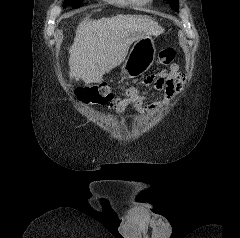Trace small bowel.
<instances>
[{
	"mask_svg": "<svg viewBox=\"0 0 240 238\" xmlns=\"http://www.w3.org/2000/svg\"><path fill=\"white\" fill-rule=\"evenodd\" d=\"M184 76L180 72L177 63L171 65L169 71H161L149 76L142 81L144 85H152L155 90L163 91L165 99L163 102L146 104V97L140 92L137 86H129L125 89L124 95L110 101L109 108L115 113L120 114L128 107H134L139 112H147L160 106L162 103L172 99L179 91Z\"/></svg>",
	"mask_w": 240,
	"mask_h": 238,
	"instance_id": "small-bowel-1",
	"label": "small bowel"
}]
</instances>
